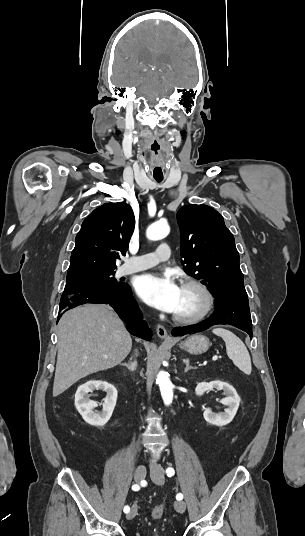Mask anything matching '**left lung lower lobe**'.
Wrapping results in <instances>:
<instances>
[{
	"label": "left lung lower lobe",
	"instance_id": "left-lung-lower-lobe-1",
	"mask_svg": "<svg viewBox=\"0 0 305 536\" xmlns=\"http://www.w3.org/2000/svg\"><path fill=\"white\" fill-rule=\"evenodd\" d=\"M214 313L202 323L177 327L172 330L173 336L193 334L208 329L212 325L229 324L245 332L252 338V322L248 304V296H224L215 299Z\"/></svg>",
	"mask_w": 305,
	"mask_h": 536
}]
</instances>
